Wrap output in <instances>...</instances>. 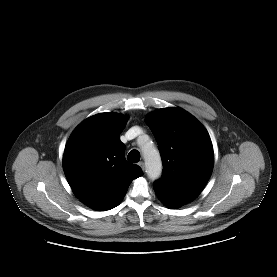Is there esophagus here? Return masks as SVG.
Masks as SVG:
<instances>
[{"instance_id": "esophagus-1", "label": "esophagus", "mask_w": 277, "mask_h": 277, "mask_svg": "<svg viewBox=\"0 0 277 277\" xmlns=\"http://www.w3.org/2000/svg\"><path fill=\"white\" fill-rule=\"evenodd\" d=\"M138 165L140 166V168H141L143 171L145 170L144 162H139Z\"/></svg>"}]
</instances>
